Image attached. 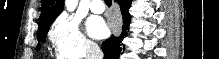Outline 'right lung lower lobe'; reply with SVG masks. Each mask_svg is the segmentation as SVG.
I'll list each match as a JSON object with an SVG mask.
<instances>
[{"mask_svg":"<svg viewBox=\"0 0 219 59\" xmlns=\"http://www.w3.org/2000/svg\"><path fill=\"white\" fill-rule=\"evenodd\" d=\"M120 5L121 13L123 15L122 33L119 37L113 35L107 39L102 45V51L104 52V59H119L120 53L125 48L122 44V39L127 36V30L131 21L129 14V7L131 0H115Z\"/></svg>","mask_w":219,"mask_h":59,"instance_id":"98d812e1","label":"right lung lower lobe"}]
</instances>
